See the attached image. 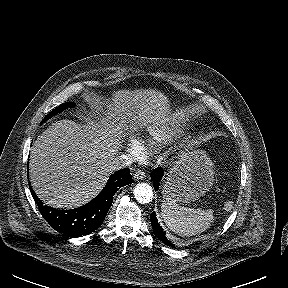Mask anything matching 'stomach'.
I'll list each match as a JSON object with an SVG mask.
<instances>
[{
  "instance_id": "stomach-1",
  "label": "stomach",
  "mask_w": 288,
  "mask_h": 288,
  "mask_svg": "<svg viewBox=\"0 0 288 288\" xmlns=\"http://www.w3.org/2000/svg\"><path fill=\"white\" fill-rule=\"evenodd\" d=\"M214 182V165L203 150L182 152L167 173L165 200L191 203L208 192Z\"/></svg>"
}]
</instances>
